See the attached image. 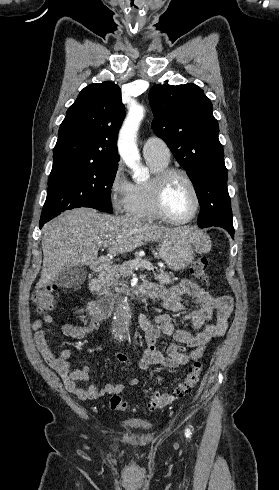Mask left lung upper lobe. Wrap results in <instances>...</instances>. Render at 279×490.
<instances>
[{
  "mask_svg": "<svg viewBox=\"0 0 279 490\" xmlns=\"http://www.w3.org/2000/svg\"><path fill=\"white\" fill-rule=\"evenodd\" d=\"M149 100L154 133L167 143L194 185L201 209L198 226L232 227L224 151L210 100L192 83L154 85Z\"/></svg>",
  "mask_w": 279,
  "mask_h": 490,
  "instance_id": "left-lung-upper-lobe-1",
  "label": "left lung upper lobe"
}]
</instances>
